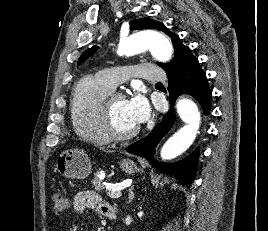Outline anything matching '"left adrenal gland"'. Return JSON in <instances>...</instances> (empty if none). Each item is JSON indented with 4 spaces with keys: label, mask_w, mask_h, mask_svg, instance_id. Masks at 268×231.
<instances>
[{
    "label": "left adrenal gland",
    "mask_w": 268,
    "mask_h": 231,
    "mask_svg": "<svg viewBox=\"0 0 268 231\" xmlns=\"http://www.w3.org/2000/svg\"><path fill=\"white\" fill-rule=\"evenodd\" d=\"M133 190H134V186H131V188H129V194H128V202L127 203H130V202H132L133 201V199H134V192H133Z\"/></svg>",
    "instance_id": "obj_1"
}]
</instances>
